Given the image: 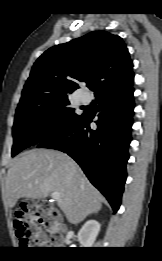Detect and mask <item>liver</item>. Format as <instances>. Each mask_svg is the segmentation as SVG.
<instances>
[{
  "instance_id": "1",
  "label": "liver",
  "mask_w": 162,
  "mask_h": 261,
  "mask_svg": "<svg viewBox=\"0 0 162 261\" xmlns=\"http://www.w3.org/2000/svg\"><path fill=\"white\" fill-rule=\"evenodd\" d=\"M60 193L59 208L72 224L98 212L102 195L67 154L49 149L26 151L9 168L4 200L13 208L20 198H45Z\"/></svg>"
}]
</instances>
